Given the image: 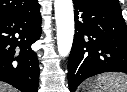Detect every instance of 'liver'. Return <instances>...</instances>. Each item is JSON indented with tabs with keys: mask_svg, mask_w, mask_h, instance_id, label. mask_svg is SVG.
I'll return each mask as SVG.
<instances>
[{
	"mask_svg": "<svg viewBox=\"0 0 127 92\" xmlns=\"http://www.w3.org/2000/svg\"><path fill=\"white\" fill-rule=\"evenodd\" d=\"M0 92H17V91L10 85L0 82Z\"/></svg>",
	"mask_w": 127,
	"mask_h": 92,
	"instance_id": "6515ba94",
	"label": "liver"
}]
</instances>
